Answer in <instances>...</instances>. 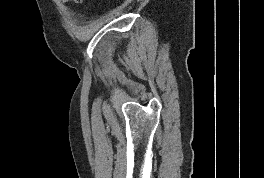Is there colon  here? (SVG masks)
Masks as SVG:
<instances>
[{
    "label": "colon",
    "mask_w": 264,
    "mask_h": 178,
    "mask_svg": "<svg viewBox=\"0 0 264 178\" xmlns=\"http://www.w3.org/2000/svg\"><path fill=\"white\" fill-rule=\"evenodd\" d=\"M65 2H67V1H73V2H75V3H80V2H82V0H64Z\"/></svg>",
    "instance_id": "5ec220e1"
}]
</instances>
